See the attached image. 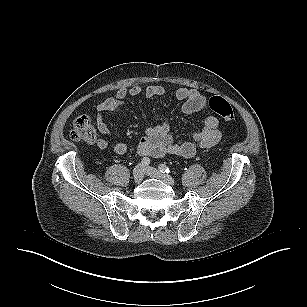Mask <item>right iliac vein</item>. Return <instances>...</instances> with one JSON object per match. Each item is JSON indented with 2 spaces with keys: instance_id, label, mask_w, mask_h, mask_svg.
<instances>
[{
  "instance_id": "obj_1",
  "label": "right iliac vein",
  "mask_w": 307,
  "mask_h": 307,
  "mask_svg": "<svg viewBox=\"0 0 307 307\" xmlns=\"http://www.w3.org/2000/svg\"><path fill=\"white\" fill-rule=\"evenodd\" d=\"M144 178V169L142 164H138L133 170V179L135 183H140Z\"/></svg>"
}]
</instances>
